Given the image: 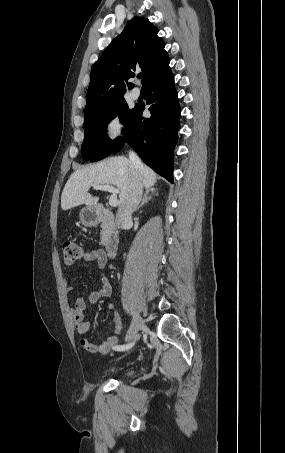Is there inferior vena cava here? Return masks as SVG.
<instances>
[{"instance_id": "1", "label": "inferior vena cava", "mask_w": 285, "mask_h": 453, "mask_svg": "<svg viewBox=\"0 0 285 453\" xmlns=\"http://www.w3.org/2000/svg\"><path fill=\"white\" fill-rule=\"evenodd\" d=\"M129 162L133 168V176L125 201L120 205L116 215L117 225L121 229L132 221V213L141 201L143 193L141 177L143 164L137 154L133 151L129 152Z\"/></svg>"}]
</instances>
